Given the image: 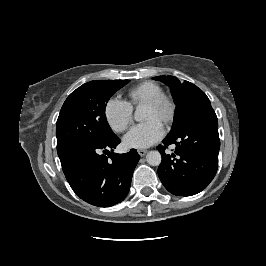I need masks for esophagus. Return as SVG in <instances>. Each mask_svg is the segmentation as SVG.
I'll return each instance as SVG.
<instances>
[{
  "mask_svg": "<svg viewBox=\"0 0 266 266\" xmlns=\"http://www.w3.org/2000/svg\"><path fill=\"white\" fill-rule=\"evenodd\" d=\"M147 153L146 149H138V154L143 157Z\"/></svg>",
  "mask_w": 266,
  "mask_h": 266,
  "instance_id": "34e87169",
  "label": "esophagus"
}]
</instances>
